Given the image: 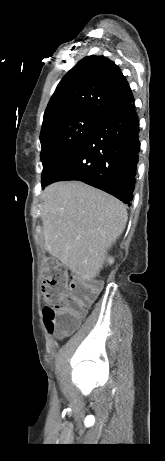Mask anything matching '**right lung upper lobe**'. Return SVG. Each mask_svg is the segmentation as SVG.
Listing matches in <instances>:
<instances>
[{
	"mask_svg": "<svg viewBox=\"0 0 165 461\" xmlns=\"http://www.w3.org/2000/svg\"><path fill=\"white\" fill-rule=\"evenodd\" d=\"M134 101L120 68L104 56L80 60L58 84L44 113L41 132L58 119L94 116L100 119Z\"/></svg>",
	"mask_w": 165,
	"mask_h": 461,
	"instance_id": "cb5924a9",
	"label": "right lung upper lobe"
}]
</instances>
